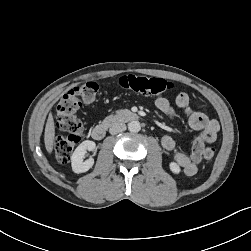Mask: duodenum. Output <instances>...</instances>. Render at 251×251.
<instances>
[{
    "label": "duodenum",
    "mask_w": 251,
    "mask_h": 251,
    "mask_svg": "<svg viewBox=\"0 0 251 251\" xmlns=\"http://www.w3.org/2000/svg\"><path fill=\"white\" fill-rule=\"evenodd\" d=\"M138 118L139 116L135 112L129 110H121L114 116L110 117L104 124L93 127L91 130V136L94 140H102L105 137L106 131L110 126L120 122L135 121Z\"/></svg>",
    "instance_id": "1"
}]
</instances>
